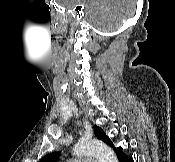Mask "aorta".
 Returning a JSON list of instances; mask_svg holds the SVG:
<instances>
[{
	"label": "aorta",
	"mask_w": 175,
	"mask_h": 162,
	"mask_svg": "<svg viewBox=\"0 0 175 162\" xmlns=\"http://www.w3.org/2000/svg\"><path fill=\"white\" fill-rule=\"evenodd\" d=\"M73 153L78 156H93L99 162H118L114 151L99 140H82L73 148Z\"/></svg>",
	"instance_id": "obj_1"
}]
</instances>
